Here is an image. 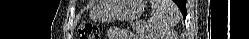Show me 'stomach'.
<instances>
[{"instance_id": "0dacf381", "label": "stomach", "mask_w": 249, "mask_h": 39, "mask_svg": "<svg viewBox=\"0 0 249 39\" xmlns=\"http://www.w3.org/2000/svg\"><path fill=\"white\" fill-rule=\"evenodd\" d=\"M143 11L142 0H100L91 10L90 18L99 22L112 19L136 20Z\"/></svg>"}]
</instances>
